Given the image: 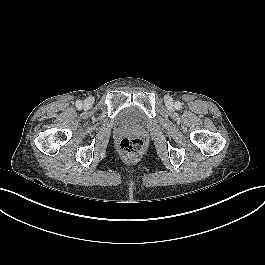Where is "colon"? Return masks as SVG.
<instances>
[{
	"mask_svg": "<svg viewBox=\"0 0 265 265\" xmlns=\"http://www.w3.org/2000/svg\"><path fill=\"white\" fill-rule=\"evenodd\" d=\"M145 147V143L140 138H123L119 143L120 150L126 155H138Z\"/></svg>",
	"mask_w": 265,
	"mask_h": 265,
	"instance_id": "5ec220e1",
	"label": "colon"
}]
</instances>
